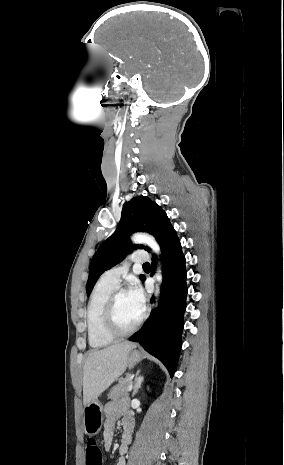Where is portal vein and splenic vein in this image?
<instances>
[{"label": "portal vein and splenic vein", "instance_id": "1", "mask_svg": "<svg viewBox=\"0 0 284 465\" xmlns=\"http://www.w3.org/2000/svg\"><path fill=\"white\" fill-rule=\"evenodd\" d=\"M128 391H132V385H130V387H129Z\"/></svg>", "mask_w": 284, "mask_h": 465}]
</instances>
